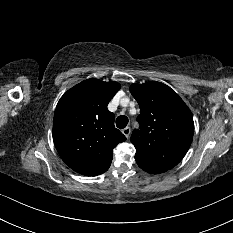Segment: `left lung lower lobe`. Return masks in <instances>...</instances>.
<instances>
[{
  "label": "left lung lower lobe",
  "instance_id": "0a47b994",
  "mask_svg": "<svg viewBox=\"0 0 233 233\" xmlns=\"http://www.w3.org/2000/svg\"><path fill=\"white\" fill-rule=\"evenodd\" d=\"M135 160L141 169H143L144 171L151 173V174H159V173L166 172L168 170L167 168L153 164V163L148 162L146 160H143L137 156H135Z\"/></svg>",
  "mask_w": 233,
  "mask_h": 233
}]
</instances>
